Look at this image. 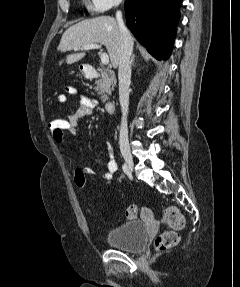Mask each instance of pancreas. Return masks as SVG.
I'll return each mask as SVG.
<instances>
[{
	"instance_id": "obj_1",
	"label": "pancreas",
	"mask_w": 240,
	"mask_h": 287,
	"mask_svg": "<svg viewBox=\"0 0 240 287\" xmlns=\"http://www.w3.org/2000/svg\"><path fill=\"white\" fill-rule=\"evenodd\" d=\"M98 71L99 79L96 81L95 91L100 95L101 101L105 103L116 85V77L113 71L104 68H99Z\"/></svg>"
}]
</instances>
